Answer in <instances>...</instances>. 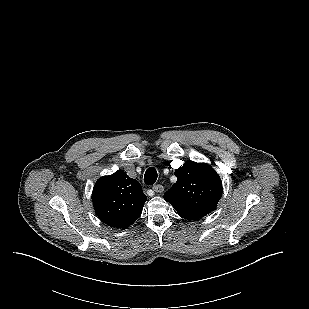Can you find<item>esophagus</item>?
I'll return each mask as SVG.
<instances>
[{"label": "esophagus", "mask_w": 309, "mask_h": 309, "mask_svg": "<svg viewBox=\"0 0 309 309\" xmlns=\"http://www.w3.org/2000/svg\"><path fill=\"white\" fill-rule=\"evenodd\" d=\"M153 191L157 193H162L164 191V187L161 184H156L152 187Z\"/></svg>", "instance_id": "34e87169"}]
</instances>
